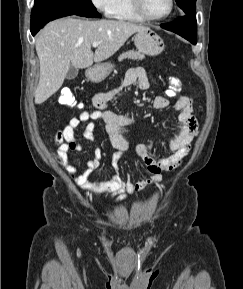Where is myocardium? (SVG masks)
Returning <instances> with one entry per match:
<instances>
[{
  "label": "myocardium",
  "mask_w": 243,
  "mask_h": 289,
  "mask_svg": "<svg viewBox=\"0 0 243 289\" xmlns=\"http://www.w3.org/2000/svg\"><path fill=\"white\" fill-rule=\"evenodd\" d=\"M131 1H132V5L136 13L139 16H141L144 20H148V21H159V20L166 19L172 14L174 7H175V0H170V6H169V10L167 11V13L161 16H151L145 10L144 0H131Z\"/></svg>",
  "instance_id": "myocardium-1"
}]
</instances>
